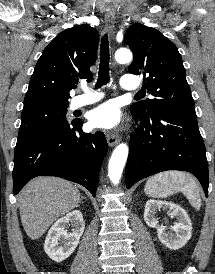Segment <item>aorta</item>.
Here are the masks:
<instances>
[{"label":"aorta","mask_w":215,"mask_h":274,"mask_svg":"<svg viewBox=\"0 0 215 274\" xmlns=\"http://www.w3.org/2000/svg\"><path fill=\"white\" fill-rule=\"evenodd\" d=\"M118 63L125 64L132 61V53L129 49L121 48L115 53ZM128 146L124 143L119 144L113 151L108 165V175L111 182L117 185L120 181L123 168L128 157Z\"/></svg>","instance_id":"aorta-1"}]
</instances>
